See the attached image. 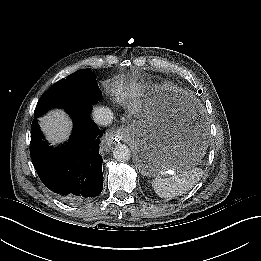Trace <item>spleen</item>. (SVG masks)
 <instances>
[{"label":"spleen","instance_id":"spleen-1","mask_svg":"<svg viewBox=\"0 0 261 261\" xmlns=\"http://www.w3.org/2000/svg\"><path fill=\"white\" fill-rule=\"evenodd\" d=\"M201 176L202 169L195 167L166 178L157 176L152 181V187L159 197L171 199L191 190Z\"/></svg>","mask_w":261,"mask_h":261}]
</instances>
